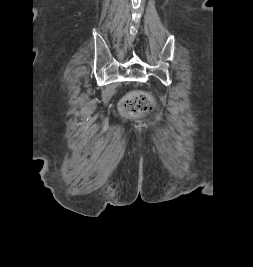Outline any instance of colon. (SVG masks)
<instances>
[{"mask_svg": "<svg viewBox=\"0 0 253 267\" xmlns=\"http://www.w3.org/2000/svg\"><path fill=\"white\" fill-rule=\"evenodd\" d=\"M153 107L151 95L144 91H133L120 102V110L127 116H138L147 113Z\"/></svg>", "mask_w": 253, "mask_h": 267, "instance_id": "5ec220e1", "label": "colon"}]
</instances>
